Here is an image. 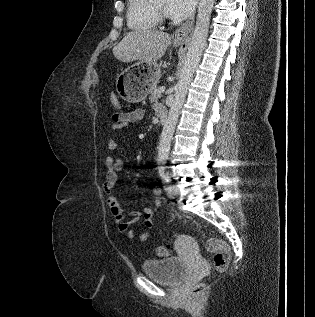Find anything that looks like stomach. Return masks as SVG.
Wrapping results in <instances>:
<instances>
[{
  "mask_svg": "<svg viewBox=\"0 0 315 317\" xmlns=\"http://www.w3.org/2000/svg\"><path fill=\"white\" fill-rule=\"evenodd\" d=\"M174 45L180 46L181 43L175 41ZM160 77L161 70L157 63L137 62L117 76L116 90L124 101L138 103L146 99Z\"/></svg>",
  "mask_w": 315,
  "mask_h": 317,
  "instance_id": "1",
  "label": "stomach"
}]
</instances>
